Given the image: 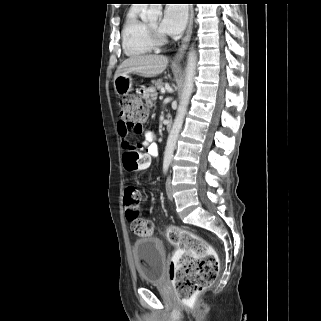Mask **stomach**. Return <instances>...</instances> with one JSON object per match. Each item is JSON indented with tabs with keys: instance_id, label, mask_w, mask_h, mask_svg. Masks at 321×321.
I'll use <instances>...</instances> for the list:
<instances>
[{
	"instance_id": "1",
	"label": "stomach",
	"mask_w": 321,
	"mask_h": 321,
	"mask_svg": "<svg viewBox=\"0 0 321 321\" xmlns=\"http://www.w3.org/2000/svg\"><path fill=\"white\" fill-rule=\"evenodd\" d=\"M114 88L119 95H127L133 90V79L130 74H123L114 79Z\"/></svg>"
}]
</instances>
